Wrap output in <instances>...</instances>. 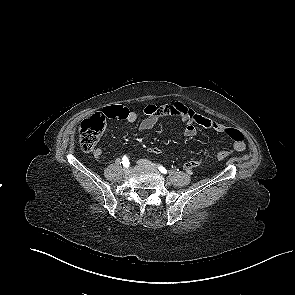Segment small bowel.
Here are the masks:
<instances>
[{
    "label": "small bowel",
    "instance_id": "obj_1",
    "mask_svg": "<svg viewBox=\"0 0 295 295\" xmlns=\"http://www.w3.org/2000/svg\"><path fill=\"white\" fill-rule=\"evenodd\" d=\"M145 118L139 123V132H146L151 130L160 117H176L180 119L185 127L183 135L187 138H192L197 134L198 128H204L207 130L215 131L228 136L230 130H235L222 123L212 120L206 116H203L193 109L187 107L181 102L165 103L160 105H147L143 109ZM102 115L107 118H116L128 123H134L138 119L136 112L129 110L122 105L107 106L102 110ZM233 147L236 149L237 144L233 142ZM244 147V143H243ZM103 154L102 149L96 148L94 150V156L100 158ZM201 165L200 160L190 159L186 161L183 168L186 171H192L193 169Z\"/></svg>",
    "mask_w": 295,
    "mask_h": 295
}]
</instances>
